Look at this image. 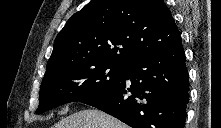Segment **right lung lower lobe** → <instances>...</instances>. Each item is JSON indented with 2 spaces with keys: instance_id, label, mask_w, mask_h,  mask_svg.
I'll use <instances>...</instances> for the list:
<instances>
[{
  "instance_id": "98d812e1",
  "label": "right lung lower lobe",
  "mask_w": 221,
  "mask_h": 128,
  "mask_svg": "<svg viewBox=\"0 0 221 128\" xmlns=\"http://www.w3.org/2000/svg\"><path fill=\"white\" fill-rule=\"evenodd\" d=\"M185 61L182 43L140 56L129 62L119 83L82 103L132 128H184L189 101Z\"/></svg>"
}]
</instances>
